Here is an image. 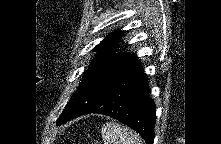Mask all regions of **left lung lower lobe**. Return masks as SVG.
I'll return each mask as SVG.
<instances>
[{
  "label": "left lung lower lobe",
  "mask_w": 221,
  "mask_h": 144,
  "mask_svg": "<svg viewBox=\"0 0 221 144\" xmlns=\"http://www.w3.org/2000/svg\"><path fill=\"white\" fill-rule=\"evenodd\" d=\"M89 113L115 118L138 132L147 144H153L155 103L149 99V84L139 60L124 71L100 100L83 114Z\"/></svg>",
  "instance_id": "obj_1"
}]
</instances>
